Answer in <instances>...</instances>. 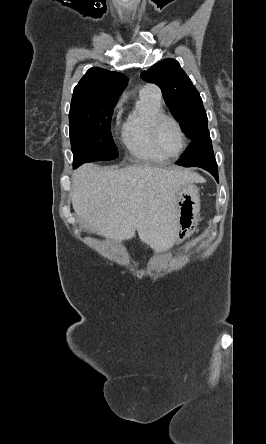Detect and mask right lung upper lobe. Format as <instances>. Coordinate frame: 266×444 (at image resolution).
Wrapping results in <instances>:
<instances>
[{"label": "right lung upper lobe", "instance_id": "cb5924a9", "mask_svg": "<svg viewBox=\"0 0 266 444\" xmlns=\"http://www.w3.org/2000/svg\"><path fill=\"white\" fill-rule=\"evenodd\" d=\"M127 82V77L121 73L93 67L87 71L74 88L71 106L99 99H118Z\"/></svg>", "mask_w": 266, "mask_h": 444}]
</instances>
